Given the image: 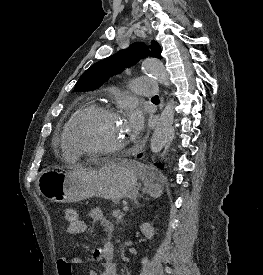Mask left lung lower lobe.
<instances>
[{
    "label": "left lung lower lobe",
    "instance_id": "obj_1",
    "mask_svg": "<svg viewBox=\"0 0 263 275\" xmlns=\"http://www.w3.org/2000/svg\"><path fill=\"white\" fill-rule=\"evenodd\" d=\"M137 157H138V158L142 157V153L139 154ZM156 165H158V167H163V164H162V163H156Z\"/></svg>",
    "mask_w": 263,
    "mask_h": 275
}]
</instances>
